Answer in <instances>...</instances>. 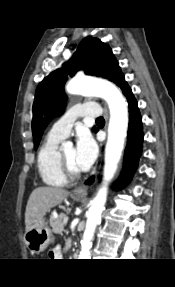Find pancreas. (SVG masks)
<instances>
[{"instance_id":"pancreas-1","label":"pancreas","mask_w":175,"mask_h":287,"mask_svg":"<svg viewBox=\"0 0 175 287\" xmlns=\"http://www.w3.org/2000/svg\"><path fill=\"white\" fill-rule=\"evenodd\" d=\"M65 217V214L60 213L57 217L51 216L50 217V226L51 231L57 234H61L64 231V223L63 219Z\"/></svg>"}]
</instances>
